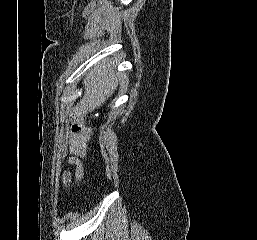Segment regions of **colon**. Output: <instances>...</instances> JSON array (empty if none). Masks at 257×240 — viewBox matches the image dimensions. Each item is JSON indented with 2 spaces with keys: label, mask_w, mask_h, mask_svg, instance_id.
<instances>
[{
  "label": "colon",
  "mask_w": 257,
  "mask_h": 240,
  "mask_svg": "<svg viewBox=\"0 0 257 240\" xmlns=\"http://www.w3.org/2000/svg\"><path fill=\"white\" fill-rule=\"evenodd\" d=\"M73 130H74V131H79V130H80V128H79L78 126H76V125H75V126L73 127Z\"/></svg>",
  "instance_id": "1"
}]
</instances>
